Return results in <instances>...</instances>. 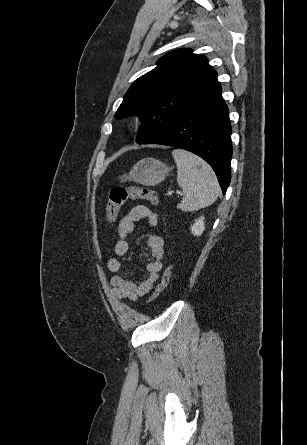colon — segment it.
<instances>
[{
  "label": "colon",
  "mask_w": 307,
  "mask_h": 445,
  "mask_svg": "<svg viewBox=\"0 0 307 445\" xmlns=\"http://www.w3.org/2000/svg\"><path fill=\"white\" fill-rule=\"evenodd\" d=\"M142 199L148 201L151 205L156 206L158 204L157 193L153 190L146 188H126V187H114L109 192L108 205L105 211V221L112 223L115 221L118 212L123 204L128 200ZM171 266H168L159 282L156 286L149 301L152 302L158 298L161 293L166 289L171 278Z\"/></svg>",
  "instance_id": "1"
}]
</instances>
